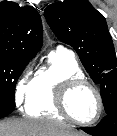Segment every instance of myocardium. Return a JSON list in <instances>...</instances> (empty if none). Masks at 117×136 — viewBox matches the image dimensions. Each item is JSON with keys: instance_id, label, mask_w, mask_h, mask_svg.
I'll list each match as a JSON object with an SVG mask.
<instances>
[{"instance_id": "1", "label": "myocardium", "mask_w": 117, "mask_h": 136, "mask_svg": "<svg viewBox=\"0 0 117 136\" xmlns=\"http://www.w3.org/2000/svg\"><path fill=\"white\" fill-rule=\"evenodd\" d=\"M84 87L93 91L98 104L96 116L93 119L87 121L76 118L70 109V99L72 95L77 90ZM55 106L62 116L76 124L81 125H91L96 123L101 118L104 109L103 99L99 89L87 79L79 77L69 78L59 85L55 95Z\"/></svg>"}]
</instances>
